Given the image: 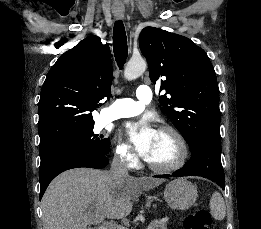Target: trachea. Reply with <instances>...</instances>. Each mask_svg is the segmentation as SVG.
Segmentation results:
<instances>
[{
  "label": "trachea",
  "instance_id": "trachea-1",
  "mask_svg": "<svg viewBox=\"0 0 261 229\" xmlns=\"http://www.w3.org/2000/svg\"><path fill=\"white\" fill-rule=\"evenodd\" d=\"M113 51L118 66L122 67L128 55L127 37L122 21H116L114 25Z\"/></svg>",
  "mask_w": 261,
  "mask_h": 229
}]
</instances>
